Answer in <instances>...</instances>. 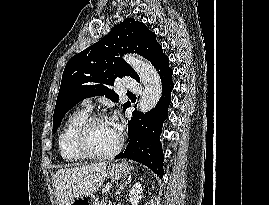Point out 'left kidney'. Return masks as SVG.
I'll return each instance as SVG.
<instances>
[{"label": "left kidney", "mask_w": 269, "mask_h": 205, "mask_svg": "<svg viewBox=\"0 0 269 205\" xmlns=\"http://www.w3.org/2000/svg\"><path fill=\"white\" fill-rule=\"evenodd\" d=\"M143 197V188L140 183H135L129 191V201L132 205H138Z\"/></svg>", "instance_id": "5707ae66"}]
</instances>
